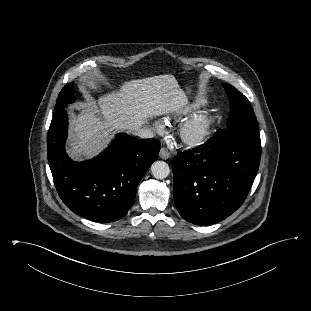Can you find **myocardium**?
Wrapping results in <instances>:
<instances>
[{
	"label": "myocardium",
	"instance_id": "f54148a6",
	"mask_svg": "<svg viewBox=\"0 0 311 311\" xmlns=\"http://www.w3.org/2000/svg\"><path fill=\"white\" fill-rule=\"evenodd\" d=\"M212 117L209 112H200L185 120L179 130L182 142L188 146L203 144L210 134Z\"/></svg>",
	"mask_w": 311,
	"mask_h": 311
}]
</instances>
